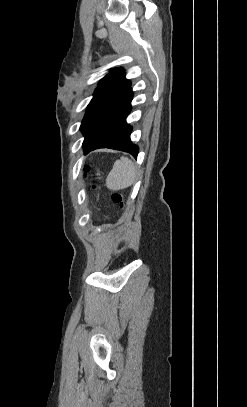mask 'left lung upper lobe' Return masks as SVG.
Here are the masks:
<instances>
[{
  "label": "left lung upper lobe",
  "instance_id": "5c2ea615",
  "mask_svg": "<svg viewBox=\"0 0 247 407\" xmlns=\"http://www.w3.org/2000/svg\"><path fill=\"white\" fill-rule=\"evenodd\" d=\"M130 86L131 83L125 78L121 67L111 69V72L101 79L80 126L84 135L105 109Z\"/></svg>",
  "mask_w": 247,
  "mask_h": 407
}]
</instances>
